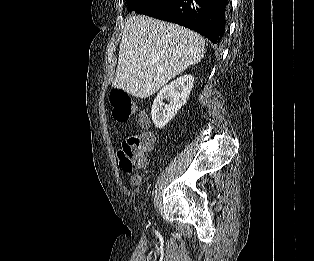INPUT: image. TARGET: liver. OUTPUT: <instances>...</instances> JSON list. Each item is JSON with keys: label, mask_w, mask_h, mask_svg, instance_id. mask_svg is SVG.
<instances>
[{"label": "liver", "mask_w": 314, "mask_h": 261, "mask_svg": "<svg viewBox=\"0 0 314 261\" xmlns=\"http://www.w3.org/2000/svg\"><path fill=\"white\" fill-rule=\"evenodd\" d=\"M204 54L205 40L197 33L133 13L125 21L112 85L134 97L148 98L199 63Z\"/></svg>", "instance_id": "obj_1"}]
</instances>
